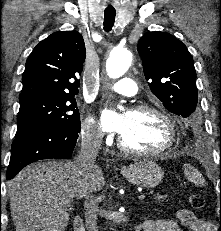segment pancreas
Segmentation results:
<instances>
[{"label":"pancreas","instance_id":"obj_1","mask_svg":"<svg viewBox=\"0 0 221 231\" xmlns=\"http://www.w3.org/2000/svg\"><path fill=\"white\" fill-rule=\"evenodd\" d=\"M154 199L159 200V201H160V200L164 201V200L166 199V196L157 194V195L154 197Z\"/></svg>","mask_w":221,"mask_h":231}]
</instances>
